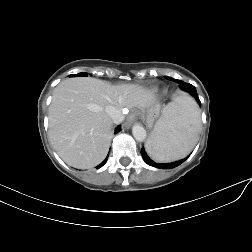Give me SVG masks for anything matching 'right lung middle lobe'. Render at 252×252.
I'll use <instances>...</instances> for the list:
<instances>
[{"label": "right lung middle lobe", "mask_w": 252, "mask_h": 252, "mask_svg": "<svg viewBox=\"0 0 252 252\" xmlns=\"http://www.w3.org/2000/svg\"><path fill=\"white\" fill-rule=\"evenodd\" d=\"M87 73H79V74H74V75H70V77H78V76H87Z\"/></svg>", "instance_id": "1"}]
</instances>
